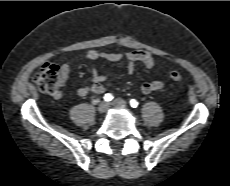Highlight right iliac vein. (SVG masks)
Listing matches in <instances>:
<instances>
[{"instance_id": "63e3f726", "label": "right iliac vein", "mask_w": 230, "mask_h": 186, "mask_svg": "<svg viewBox=\"0 0 230 186\" xmlns=\"http://www.w3.org/2000/svg\"><path fill=\"white\" fill-rule=\"evenodd\" d=\"M109 109V104L105 101H102L98 106L99 113H106Z\"/></svg>"}]
</instances>
